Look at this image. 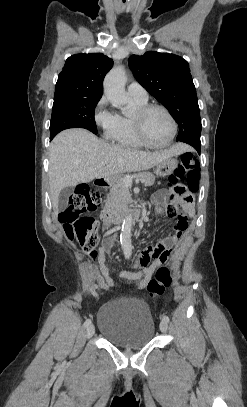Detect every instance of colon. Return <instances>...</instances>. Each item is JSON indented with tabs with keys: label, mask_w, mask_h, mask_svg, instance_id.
<instances>
[{
	"label": "colon",
	"mask_w": 247,
	"mask_h": 407,
	"mask_svg": "<svg viewBox=\"0 0 247 407\" xmlns=\"http://www.w3.org/2000/svg\"><path fill=\"white\" fill-rule=\"evenodd\" d=\"M200 165L197 157L192 153H185L181 157L179 166L169 178V185L174 186L176 192L187 202H192L191 194L199 189ZM101 202L98 192L91 191L88 186H79L69 199L68 207L60 214L59 220L63 224L67 237L76 239L84 251L91 254L100 240L99 223L86 213L94 211ZM172 283L171 272L166 267H160L155 278L147 284L151 297H159Z\"/></svg>",
	"instance_id": "obj_1"
}]
</instances>
